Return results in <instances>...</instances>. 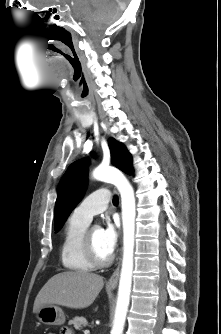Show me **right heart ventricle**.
<instances>
[{"label":"right heart ventricle","mask_w":221,"mask_h":334,"mask_svg":"<svg viewBox=\"0 0 221 334\" xmlns=\"http://www.w3.org/2000/svg\"><path fill=\"white\" fill-rule=\"evenodd\" d=\"M88 224V222L72 214L65 225L60 257L63 266L69 271L86 273L92 271L95 267L88 260L83 250V235Z\"/></svg>","instance_id":"obj_1"}]
</instances>
